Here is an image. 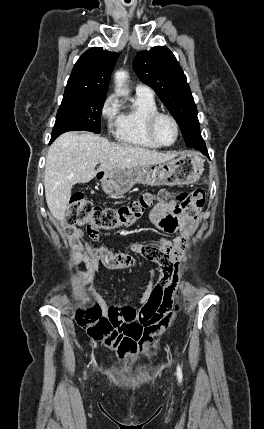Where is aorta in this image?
<instances>
[{"label": "aorta", "instance_id": "aorta-1", "mask_svg": "<svg viewBox=\"0 0 264 429\" xmlns=\"http://www.w3.org/2000/svg\"><path fill=\"white\" fill-rule=\"evenodd\" d=\"M127 78V73L124 71H118L115 74L116 93L120 95H126L127 92L123 89V85Z\"/></svg>", "mask_w": 264, "mask_h": 429}]
</instances>
